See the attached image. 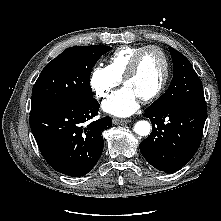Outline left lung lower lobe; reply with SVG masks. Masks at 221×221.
Here are the masks:
<instances>
[{"label":"left lung lower lobe","instance_id":"left-lung-lower-lobe-1","mask_svg":"<svg viewBox=\"0 0 221 221\" xmlns=\"http://www.w3.org/2000/svg\"><path fill=\"white\" fill-rule=\"evenodd\" d=\"M206 104L180 105L158 110H145L152 132L140 143V151L153 167L173 173L187 164L198 150Z\"/></svg>","mask_w":221,"mask_h":221}]
</instances>
